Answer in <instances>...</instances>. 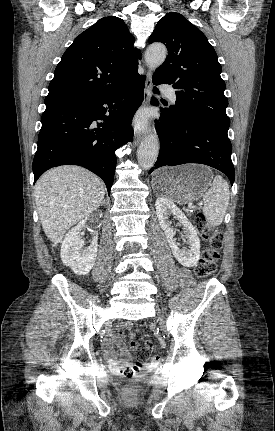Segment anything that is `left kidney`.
<instances>
[{"label": "left kidney", "mask_w": 275, "mask_h": 431, "mask_svg": "<svg viewBox=\"0 0 275 431\" xmlns=\"http://www.w3.org/2000/svg\"><path fill=\"white\" fill-rule=\"evenodd\" d=\"M156 214L159 224L164 231L167 242L177 261L185 267H193L200 258V240L197 231L185 214L174 205V203L165 197H159L156 200ZM173 216L183 225L186 233L189 248L180 249L174 239V229L168 223V216Z\"/></svg>", "instance_id": "5707ae66"}]
</instances>
